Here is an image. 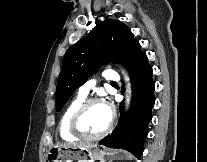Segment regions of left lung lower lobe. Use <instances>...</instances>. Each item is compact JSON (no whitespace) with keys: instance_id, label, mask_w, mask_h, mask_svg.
<instances>
[{"instance_id":"0a47b994","label":"left lung lower lobe","mask_w":207,"mask_h":162,"mask_svg":"<svg viewBox=\"0 0 207 162\" xmlns=\"http://www.w3.org/2000/svg\"><path fill=\"white\" fill-rule=\"evenodd\" d=\"M132 83V109L124 121H119L113 132L99 143L116 149H125L137 158L143 152V143L147 136V125L151 120V110L155 102L152 80V67L145 53H141L129 66ZM122 114L123 105L120 106Z\"/></svg>"}]
</instances>
